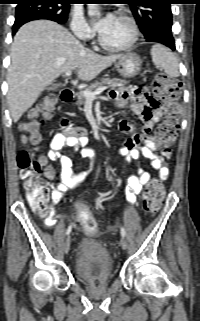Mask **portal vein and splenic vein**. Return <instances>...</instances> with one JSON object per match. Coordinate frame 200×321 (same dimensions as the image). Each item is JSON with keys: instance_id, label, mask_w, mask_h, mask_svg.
<instances>
[{"instance_id": "18ae733b", "label": "portal vein and splenic vein", "mask_w": 200, "mask_h": 321, "mask_svg": "<svg viewBox=\"0 0 200 321\" xmlns=\"http://www.w3.org/2000/svg\"><path fill=\"white\" fill-rule=\"evenodd\" d=\"M72 74V71H67L65 72V75L66 76H70ZM108 87H101L99 89H97L95 92H90V91H87V90H84L82 91V93L84 94V96L86 97V99L88 100H93L96 95H99L100 93H102L103 91H105Z\"/></svg>"}]
</instances>
